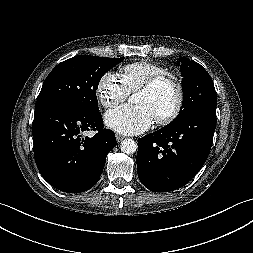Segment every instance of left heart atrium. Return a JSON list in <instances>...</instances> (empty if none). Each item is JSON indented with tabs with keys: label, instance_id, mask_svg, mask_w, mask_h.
<instances>
[{
	"label": "left heart atrium",
	"instance_id": "left-heart-atrium-1",
	"mask_svg": "<svg viewBox=\"0 0 253 253\" xmlns=\"http://www.w3.org/2000/svg\"><path fill=\"white\" fill-rule=\"evenodd\" d=\"M147 105H123L105 115V123L111 129L127 135L146 131L155 121Z\"/></svg>",
	"mask_w": 253,
	"mask_h": 253
}]
</instances>
